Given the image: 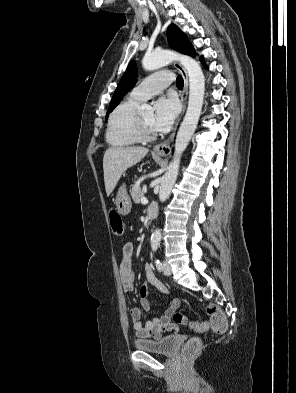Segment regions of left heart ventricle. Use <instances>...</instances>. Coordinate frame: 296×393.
Here are the masks:
<instances>
[{
  "mask_svg": "<svg viewBox=\"0 0 296 393\" xmlns=\"http://www.w3.org/2000/svg\"><path fill=\"white\" fill-rule=\"evenodd\" d=\"M140 116H141L143 122H144L149 128L152 129L151 123H152V119H153V114H152V113H145V114H142V115H140ZM152 130H153V129H152Z\"/></svg>",
  "mask_w": 296,
  "mask_h": 393,
  "instance_id": "obj_1",
  "label": "left heart ventricle"
}]
</instances>
